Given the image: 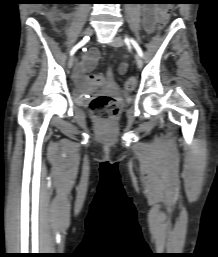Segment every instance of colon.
<instances>
[{
    "mask_svg": "<svg viewBox=\"0 0 218 257\" xmlns=\"http://www.w3.org/2000/svg\"><path fill=\"white\" fill-rule=\"evenodd\" d=\"M173 2H162V5L158 6V16H160L159 21H157L155 35H163L166 30V25L171 22V16H173ZM114 67H107L103 70V74H88L87 78L84 80L85 84H90L94 87V90H108L109 86L105 84H117L118 80L115 79ZM136 85V78L131 77L126 83L127 89H133ZM90 109L93 114L101 119L102 121L108 122L113 118L119 109V103L116 98L108 95H98L95 96L90 102Z\"/></svg>",
    "mask_w": 218,
    "mask_h": 257,
    "instance_id": "5ec220e1",
    "label": "colon"
}]
</instances>
